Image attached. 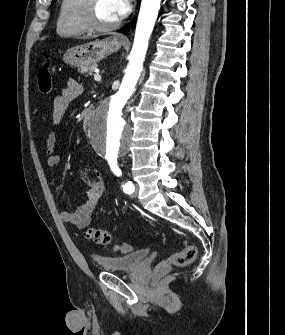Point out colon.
Here are the masks:
<instances>
[{"label":"colon","mask_w":285,"mask_h":335,"mask_svg":"<svg viewBox=\"0 0 285 335\" xmlns=\"http://www.w3.org/2000/svg\"><path fill=\"white\" fill-rule=\"evenodd\" d=\"M37 80L40 92L49 97L53 90L52 70L49 59H46L37 73ZM86 236L93 242L103 246H113L120 253H129L132 246L129 243H113L111 233L104 228H89ZM197 255V249L194 245H187L181 250L170 254L162 260L156 267L158 274L167 273L172 267L186 266L192 263Z\"/></svg>","instance_id":"5ec220e1"}]
</instances>
